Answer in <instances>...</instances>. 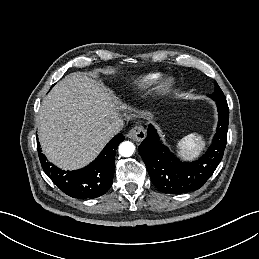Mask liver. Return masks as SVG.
<instances>
[{"instance_id": "obj_1", "label": "liver", "mask_w": 259, "mask_h": 259, "mask_svg": "<svg viewBox=\"0 0 259 259\" xmlns=\"http://www.w3.org/2000/svg\"><path fill=\"white\" fill-rule=\"evenodd\" d=\"M125 108L103 83L80 72L67 75L39 109L36 120L43 152L62 169L84 167L113 137L108 127Z\"/></svg>"}]
</instances>
